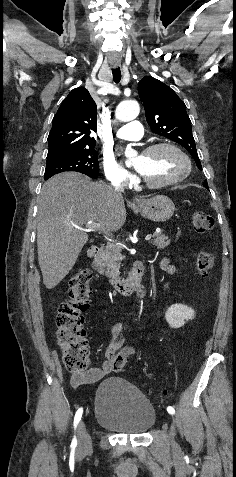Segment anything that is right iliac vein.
<instances>
[{"label":"right iliac vein","instance_id":"obj_1","mask_svg":"<svg viewBox=\"0 0 236 477\" xmlns=\"http://www.w3.org/2000/svg\"><path fill=\"white\" fill-rule=\"evenodd\" d=\"M78 446L77 451L79 454L86 453L91 448V436L89 435L85 423L80 421L78 424Z\"/></svg>","mask_w":236,"mask_h":477}]
</instances>
